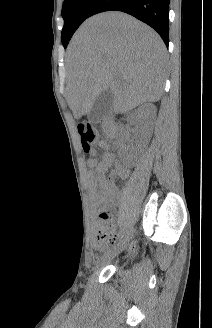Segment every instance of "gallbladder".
<instances>
[{
    "label": "gallbladder",
    "instance_id": "bac80fb5",
    "mask_svg": "<svg viewBox=\"0 0 212 328\" xmlns=\"http://www.w3.org/2000/svg\"><path fill=\"white\" fill-rule=\"evenodd\" d=\"M114 96L111 90H106L96 97L92 107L87 113L91 123H98L105 116L111 113L113 108Z\"/></svg>",
    "mask_w": 212,
    "mask_h": 328
}]
</instances>
